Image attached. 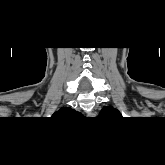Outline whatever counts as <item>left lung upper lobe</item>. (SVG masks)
<instances>
[{
  "instance_id": "left-lung-upper-lobe-1",
  "label": "left lung upper lobe",
  "mask_w": 165,
  "mask_h": 165,
  "mask_svg": "<svg viewBox=\"0 0 165 165\" xmlns=\"http://www.w3.org/2000/svg\"><path fill=\"white\" fill-rule=\"evenodd\" d=\"M101 114H113V115L117 114L121 116L120 112L113 107H104L100 112V115Z\"/></svg>"
}]
</instances>
